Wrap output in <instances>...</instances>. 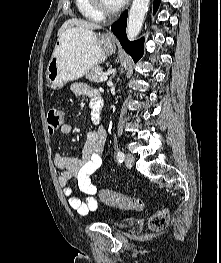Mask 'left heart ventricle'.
Returning a JSON list of instances; mask_svg holds the SVG:
<instances>
[{
    "label": "left heart ventricle",
    "mask_w": 221,
    "mask_h": 263,
    "mask_svg": "<svg viewBox=\"0 0 221 263\" xmlns=\"http://www.w3.org/2000/svg\"><path fill=\"white\" fill-rule=\"evenodd\" d=\"M103 3L108 8H115L120 4L118 0H103Z\"/></svg>",
    "instance_id": "b2bd125f"
}]
</instances>
